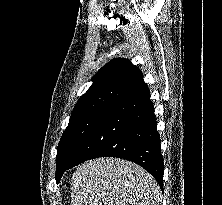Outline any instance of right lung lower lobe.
Returning <instances> with one entry per match:
<instances>
[{"label": "right lung lower lobe", "instance_id": "1", "mask_svg": "<svg viewBox=\"0 0 222 205\" xmlns=\"http://www.w3.org/2000/svg\"><path fill=\"white\" fill-rule=\"evenodd\" d=\"M98 157L122 158L139 164L163 190L160 135L147 86L127 96L106 113L67 169Z\"/></svg>", "mask_w": 222, "mask_h": 205}]
</instances>
